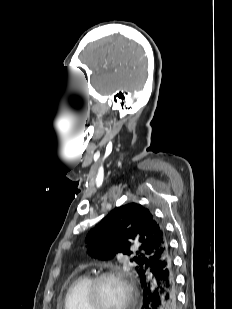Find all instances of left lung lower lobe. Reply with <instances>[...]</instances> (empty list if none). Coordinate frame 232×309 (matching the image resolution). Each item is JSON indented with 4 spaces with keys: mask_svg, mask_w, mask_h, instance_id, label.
Listing matches in <instances>:
<instances>
[{
    "mask_svg": "<svg viewBox=\"0 0 232 309\" xmlns=\"http://www.w3.org/2000/svg\"><path fill=\"white\" fill-rule=\"evenodd\" d=\"M141 287L143 290L141 309H176V276L170 248L151 263L141 280Z\"/></svg>",
    "mask_w": 232,
    "mask_h": 309,
    "instance_id": "left-lung-lower-lobe-1",
    "label": "left lung lower lobe"
}]
</instances>
